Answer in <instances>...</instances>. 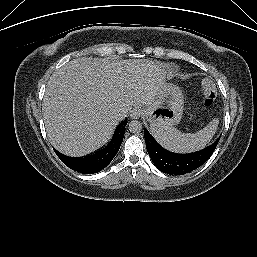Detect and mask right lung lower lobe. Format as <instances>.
<instances>
[{"instance_id":"98d812e1","label":"right lung lower lobe","mask_w":257,"mask_h":257,"mask_svg":"<svg viewBox=\"0 0 257 257\" xmlns=\"http://www.w3.org/2000/svg\"><path fill=\"white\" fill-rule=\"evenodd\" d=\"M126 124L127 119L122 121L116 127L114 135L106 147L88 157L73 158L61 154L55 149L54 151L60 158V160L70 169L84 174L97 173L104 169L112 161V159L119 151L120 145L123 141V136L125 134Z\"/></svg>"}]
</instances>
